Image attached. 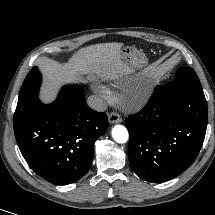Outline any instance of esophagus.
<instances>
[{
  "label": "esophagus",
  "instance_id": "obj_1",
  "mask_svg": "<svg viewBox=\"0 0 215 215\" xmlns=\"http://www.w3.org/2000/svg\"><path fill=\"white\" fill-rule=\"evenodd\" d=\"M108 120L111 124H114V123H121L122 122V118L121 116L116 113V112H111L109 115H108Z\"/></svg>",
  "mask_w": 215,
  "mask_h": 215
}]
</instances>
